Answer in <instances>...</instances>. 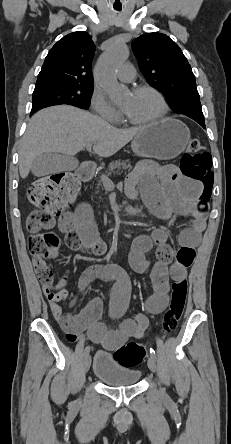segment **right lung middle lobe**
Here are the masks:
<instances>
[{
	"instance_id": "obj_1",
	"label": "right lung middle lobe",
	"mask_w": 231,
	"mask_h": 444,
	"mask_svg": "<svg viewBox=\"0 0 231 444\" xmlns=\"http://www.w3.org/2000/svg\"><path fill=\"white\" fill-rule=\"evenodd\" d=\"M92 91L93 85L46 84L35 86L31 112L59 104H70L87 109Z\"/></svg>"
}]
</instances>
